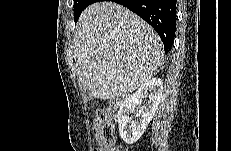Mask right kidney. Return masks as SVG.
I'll use <instances>...</instances> for the list:
<instances>
[{"mask_svg": "<svg viewBox=\"0 0 231 151\" xmlns=\"http://www.w3.org/2000/svg\"><path fill=\"white\" fill-rule=\"evenodd\" d=\"M162 91V80L151 78L121 103L118 111V127L120 137L125 143L133 144L141 138L155 115ZM143 98H146V101L140 107L137 119L132 120L131 114L137 105H141V99Z\"/></svg>", "mask_w": 231, "mask_h": 151, "instance_id": "1", "label": "right kidney"}]
</instances>
